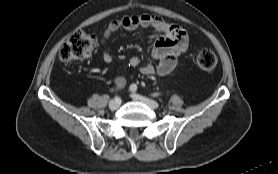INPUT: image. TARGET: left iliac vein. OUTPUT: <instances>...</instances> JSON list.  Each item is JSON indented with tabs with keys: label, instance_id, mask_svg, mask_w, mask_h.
I'll list each match as a JSON object with an SVG mask.
<instances>
[{
	"label": "left iliac vein",
	"instance_id": "1",
	"mask_svg": "<svg viewBox=\"0 0 278 174\" xmlns=\"http://www.w3.org/2000/svg\"><path fill=\"white\" fill-rule=\"evenodd\" d=\"M131 97L134 100L141 101V102L147 104L152 109H157L159 107V104H158L157 101L149 99L147 97H144V96H141V95H138V94H132Z\"/></svg>",
	"mask_w": 278,
	"mask_h": 174
}]
</instances>
